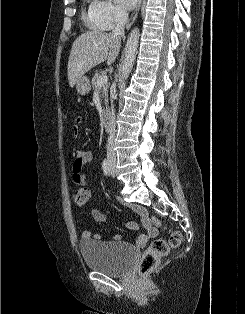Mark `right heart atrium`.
<instances>
[{
  "label": "right heart atrium",
  "mask_w": 245,
  "mask_h": 314,
  "mask_svg": "<svg viewBox=\"0 0 245 314\" xmlns=\"http://www.w3.org/2000/svg\"><path fill=\"white\" fill-rule=\"evenodd\" d=\"M92 25L100 31H109L123 23L125 12L110 0H93L90 5Z\"/></svg>",
  "instance_id": "1"
}]
</instances>
